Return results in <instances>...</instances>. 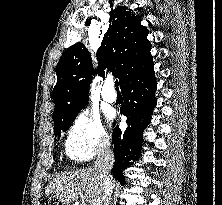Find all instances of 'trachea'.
I'll return each instance as SVG.
<instances>
[{
	"instance_id": "obj_1",
	"label": "trachea",
	"mask_w": 222,
	"mask_h": 205,
	"mask_svg": "<svg viewBox=\"0 0 222 205\" xmlns=\"http://www.w3.org/2000/svg\"><path fill=\"white\" fill-rule=\"evenodd\" d=\"M115 88L116 90H119V82L117 80L115 81Z\"/></svg>"
}]
</instances>
